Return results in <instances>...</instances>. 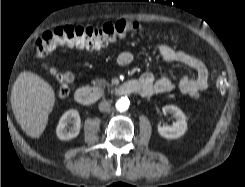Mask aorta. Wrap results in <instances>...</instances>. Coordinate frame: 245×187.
I'll use <instances>...</instances> for the list:
<instances>
[{"label": "aorta", "mask_w": 245, "mask_h": 187, "mask_svg": "<svg viewBox=\"0 0 245 187\" xmlns=\"http://www.w3.org/2000/svg\"><path fill=\"white\" fill-rule=\"evenodd\" d=\"M130 101L128 98L122 97L116 102V109L120 112L126 111L129 108Z\"/></svg>", "instance_id": "1"}]
</instances>
